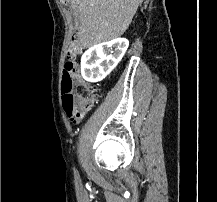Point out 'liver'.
I'll list each match as a JSON object with an SVG mask.
<instances>
[{
	"mask_svg": "<svg viewBox=\"0 0 217 202\" xmlns=\"http://www.w3.org/2000/svg\"><path fill=\"white\" fill-rule=\"evenodd\" d=\"M80 22L77 42L91 48L122 36L143 0H67Z\"/></svg>",
	"mask_w": 217,
	"mask_h": 202,
	"instance_id": "liver-1",
	"label": "liver"
}]
</instances>
